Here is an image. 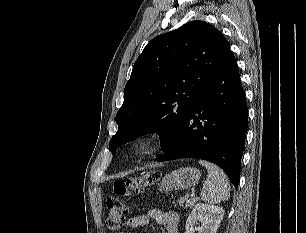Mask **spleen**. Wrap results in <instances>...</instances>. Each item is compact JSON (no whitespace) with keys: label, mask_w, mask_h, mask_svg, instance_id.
Listing matches in <instances>:
<instances>
[{"label":"spleen","mask_w":306,"mask_h":233,"mask_svg":"<svg viewBox=\"0 0 306 233\" xmlns=\"http://www.w3.org/2000/svg\"><path fill=\"white\" fill-rule=\"evenodd\" d=\"M199 164L205 166L208 176L201 191V199L210 204H218L230 197V186L226 174L215 164L200 160Z\"/></svg>","instance_id":"3e777b00"}]
</instances>
